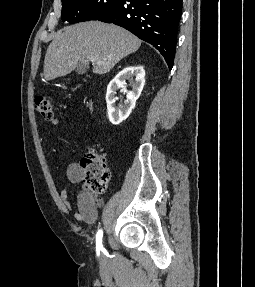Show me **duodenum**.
Listing matches in <instances>:
<instances>
[{
  "label": "duodenum",
  "instance_id": "410a0bca",
  "mask_svg": "<svg viewBox=\"0 0 255 287\" xmlns=\"http://www.w3.org/2000/svg\"><path fill=\"white\" fill-rule=\"evenodd\" d=\"M90 109H91V110L93 109V105H92V103H90Z\"/></svg>",
  "mask_w": 255,
  "mask_h": 287
}]
</instances>
